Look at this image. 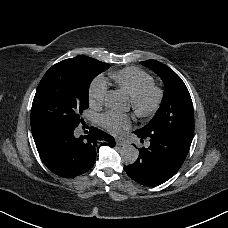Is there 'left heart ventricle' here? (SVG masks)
Instances as JSON below:
<instances>
[{"instance_id":"1","label":"left heart ventricle","mask_w":228,"mask_h":228,"mask_svg":"<svg viewBox=\"0 0 228 228\" xmlns=\"http://www.w3.org/2000/svg\"><path fill=\"white\" fill-rule=\"evenodd\" d=\"M130 108H131L130 101H128V107H127V109H125V110H117V111H119L121 113H126Z\"/></svg>"}]
</instances>
